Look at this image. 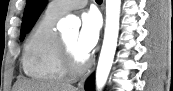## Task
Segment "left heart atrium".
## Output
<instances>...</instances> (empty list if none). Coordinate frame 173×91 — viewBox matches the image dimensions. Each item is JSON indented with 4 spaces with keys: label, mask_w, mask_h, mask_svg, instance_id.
<instances>
[{
    "label": "left heart atrium",
    "mask_w": 173,
    "mask_h": 91,
    "mask_svg": "<svg viewBox=\"0 0 173 91\" xmlns=\"http://www.w3.org/2000/svg\"><path fill=\"white\" fill-rule=\"evenodd\" d=\"M82 25L77 37V50L87 57L96 46L100 33V20L95 11H89L82 15Z\"/></svg>",
    "instance_id": "left-heart-atrium-1"
}]
</instances>
